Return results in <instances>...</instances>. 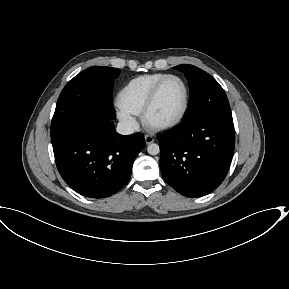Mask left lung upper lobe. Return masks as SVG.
<instances>
[{
	"instance_id": "left-lung-upper-lobe-1",
	"label": "left lung upper lobe",
	"mask_w": 289,
	"mask_h": 289,
	"mask_svg": "<svg viewBox=\"0 0 289 289\" xmlns=\"http://www.w3.org/2000/svg\"><path fill=\"white\" fill-rule=\"evenodd\" d=\"M175 68L185 73L190 88V100L183 122L200 116H217L232 120L227 96L211 75L189 64L178 65Z\"/></svg>"
}]
</instances>
